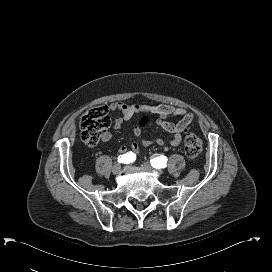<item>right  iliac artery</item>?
Listing matches in <instances>:
<instances>
[{
    "label": "right iliac artery",
    "mask_w": 272,
    "mask_h": 272,
    "mask_svg": "<svg viewBox=\"0 0 272 272\" xmlns=\"http://www.w3.org/2000/svg\"><path fill=\"white\" fill-rule=\"evenodd\" d=\"M136 159V155L132 152H127L126 154L118 157V161L124 164H130L134 162Z\"/></svg>",
    "instance_id": "82829eb1"
}]
</instances>
